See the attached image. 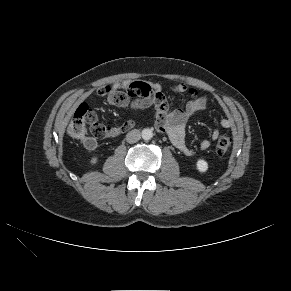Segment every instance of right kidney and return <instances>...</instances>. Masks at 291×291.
Wrapping results in <instances>:
<instances>
[{
	"mask_svg": "<svg viewBox=\"0 0 291 291\" xmlns=\"http://www.w3.org/2000/svg\"><path fill=\"white\" fill-rule=\"evenodd\" d=\"M97 161H98V158L95 156V157H92V158H91L90 163H91L92 165H94V164L97 163Z\"/></svg>",
	"mask_w": 291,
	"mask_h": 291,
	"instance_id": "1",
	"label": "right kidney"
}]
</instances>
